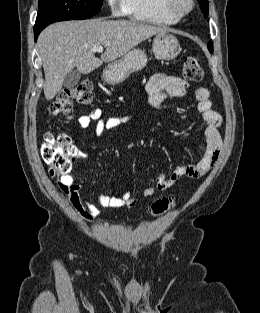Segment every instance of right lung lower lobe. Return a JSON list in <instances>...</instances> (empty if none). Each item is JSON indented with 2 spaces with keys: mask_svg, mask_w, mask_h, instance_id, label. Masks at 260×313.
<instances>
[{
  "mask_svg": "<svg viewBox=\"0 0 260 313\" xmlns=\"http://www.w3.org/2000/svg\"><path fill=\"white\" fill-rule=\"evenodd\" d=\"M49 24H35L34 26V36H35V41L37 40V37L39 33Z\"/></svg>",
  "mask_w": 260,
  "mask_h": 313,
  "instance_id": "1",
  "label": "right lung lower lobe"
}]
</instances>
